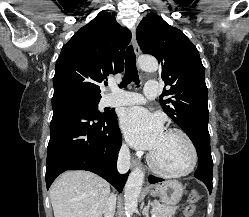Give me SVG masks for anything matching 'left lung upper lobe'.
Instances as JSON below:
<instances>
[{
    "label": "left lung upper lobe",
    "instance_id": "5c2ea615",
    "mask_svg": "<svg viewBox=\"0 0 249 217\" xmlns=\"http://www.w3.org/2000/svg\"><path fill=\"white\" fill-rule=\"evenodd\" d=\"M136 35L143 53L161 63L162 80L170 86L160 96L164 112L194 141L198 129L208 132L209 118L205 69L197 48L183 32L155 13L142 19Z\"/></svg>",
    "mask_w": 249,
    "mask_h": 217
}]
</instances>
